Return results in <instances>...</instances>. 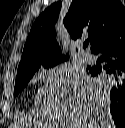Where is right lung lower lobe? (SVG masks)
I'll list each match as a JSON object with an SVG mask.
<instances>
[{"instance_id": "right-lung-lower-lobe-1", "label": "right lung lower lobe", "mask_w": 125, "mask_h": 128, "mask_svg": "<svg viewBox=\"0 0 125 128\" xmlns=\"http://www.w3.org/2000/svg\"><path fill=\"white\" fill-rule=\"evenodd\" d=\"M91 52L100 57L97 65L87 68V73L96 78L106 77L102 84L110 95L111 116L117 128H125V25L97 44Z\"/></svg>"}]
</instances>
